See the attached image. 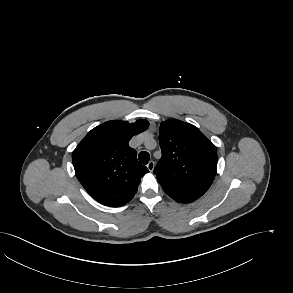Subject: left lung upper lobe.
Returning a JSON list of instances; mask_svg holds the SVG:
<instances>
[{
	"label": "left lung upper lobe",
	"instance_id": "5c2ea615",
	"mask_svg": "<svg viewBox=\"0 0 293 293\" xmlns=\"http://www.w3.org/2000/svg\"><path fill=\"white\" fill-rule=\"evenodd\" d=\"M159 143L154 173L166 194L181 203L201 197L216 175V147L197 127L175 119L161 123Z\"/></svg>",
	"mask_w": 293,
	"mask_h": 293
}]
</instances>
